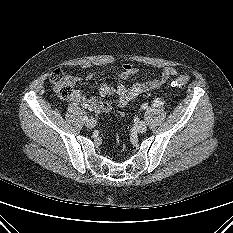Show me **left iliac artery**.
<instances>
[{
  "instance_id": "obj_1",
  "label": "left iliac artery",
  "mask_w": 233,
  "mask_h": 233,
  "mask_svg": "<svg viewBox=\"0 0 233 233\" xmlns=\"http://www.w3.org/2000/svg\"><path fill=\"white\" fill-rule=\"evenodd\" d=\"M159 104H161L160 101L159 100H155L153 105L154 106H158ZM142 109H144V110L148 109V105L147 104H143L142 105Z\"/></svg>"
}]
</instances>
